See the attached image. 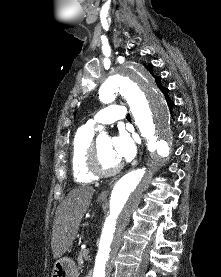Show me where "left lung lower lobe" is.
<instances>
[{"instance_id": "0a47b994", "label": "left lung lower lobe", "mask_w": 221, "mask_h": 277, "mask_svg": "<svg viewBox=\"0 0 221 277\" xmlns=\"http://www.w3.org/2000/svg\"><path fill=\"white\" fill-rule=\"evenodd\" d=\"M168 91H169V90H168L167 88L162 89V92H163V94L165 95L166 100H167V102H168L169 108H170V110H172V109H173V106H174V103L169 99V97H168Z\"/></svg>"}]
</instances>
